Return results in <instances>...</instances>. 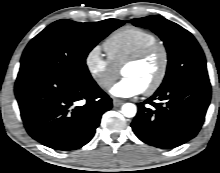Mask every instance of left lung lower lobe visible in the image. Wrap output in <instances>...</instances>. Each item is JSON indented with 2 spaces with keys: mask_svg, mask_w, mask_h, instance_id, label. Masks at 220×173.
Returning <instances> with one entry per match:
<instances>
[{
  "mask_svg": "<svg viewBox=\"0 0 220 173\" xmlns=\"http://www.w3.org/2000/svg\"><path fill=\"white\" fill-rule=\"evenodd\" d=\"M210 99V82H184L158 89L145 102L137 104L139 110L131 127L149 145L162 149L178 147L199 132ZM146 103L154 108L145 106Z\"/></svg>",
  "mask_w": 220,
  "mask_h": 173,
  "instance_id": "0a47b994",
  "label": "left lung lower lobe"
}]
</instances>
